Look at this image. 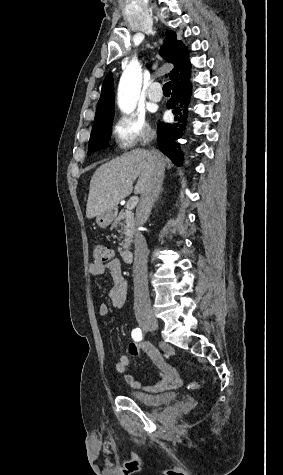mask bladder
<instances>
[{"instance_id": "bladder-1", "label": "bladder", "mask_w": 283, "mask_h": 475, "mask_svg": "<svg viewBox=\"0 0 283 475\" xmlns=\"http://www.w3.org/2000/svg\"><path fill=\"white\" fill-rule=\"evenodd\" d=\"M129 398L143 404L144 406L150 407L158 404L169 403L170 401L174 403L177 400L178 395L173 392L152 395L143 391L130 390Z\"/></svg>"}]
</instances>
